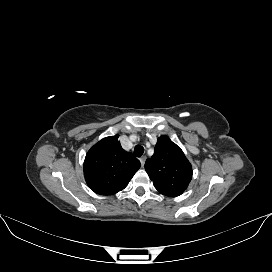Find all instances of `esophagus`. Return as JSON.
<instances>
[{"instance_id":"1","label":"esophagus","mask_w":272,"mask_h":272,"mask_svg":"<svg viewBox=\"0 0 272 272\" xmlns=\"http://www.w3.org/2000/svg\"><path fill=\"white\" fill-rule=\"evenodd\" d=\"M145 161H146V156L140 157V163L142 167H144Z\"/></svg>"}]
</instances>
